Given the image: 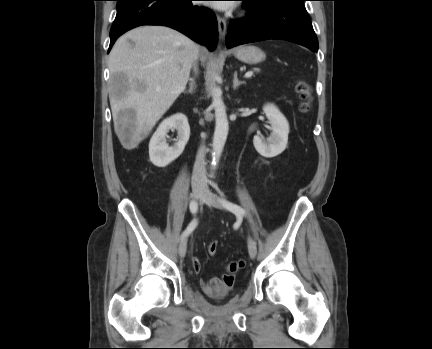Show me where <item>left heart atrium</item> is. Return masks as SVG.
<instances>
[{
  "label": "left heart atrium",
  "mask_w": 432,
  "mask_h": 349,
  "mask_svg": "<svg viewBox=\"0 0 432 349\" xmlns=\"http://www.w3.org/2000/svg\"><path fill=\"white\" fill-rule=\"evenodd\" d=\"M232 4H229L228 2H217L214 4V6L221 10H226L231 7Z\"/></svg>",
  "instance_id": "39dd6f15"
}]
</instances>
